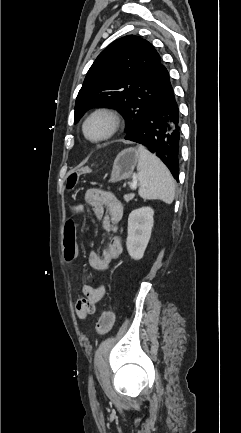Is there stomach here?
I'll use <instances>...</instances> for the list:
<instances>
[{"label":"stomach","mask_w":241,"mask_h":433,"mask_svg":"<svg viewBox=\"0 0 241 433\" xmlns=\"http://www.w3.org/2000/svg\"><path fill=\"white\" fill-rule=\"evenodd\" d=\"M139 160V153L135 148L121 151L115 158L112 166L110 183H116L131 177Z\"/></svg>","instance_id":"obj_1"}]
</instances>
